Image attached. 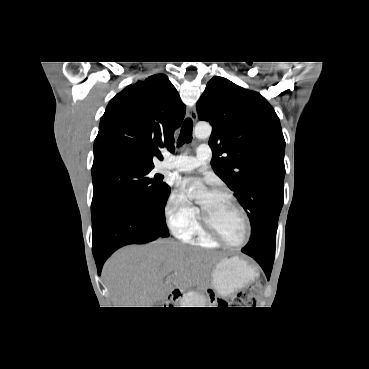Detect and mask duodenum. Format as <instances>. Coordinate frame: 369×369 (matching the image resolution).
I'll return each mask as SVG.
<instances>
[{
    "label": "duodenum",
    "instance_id": "obj_1",
    "mask_svg": "<svg viewBox=\"0 0 369 369\" xmlns=\"http://www.w3.org/2000/svg\"><path fill=\"white\" fill-rule=\"evenodd\" d=\"M171 297L173 298L174 297V294H172Z\"/></svg>",
    "mask_w": 369,
    "mask_h": 369
}]
</instances>
